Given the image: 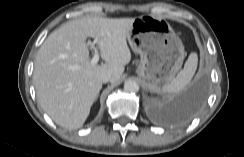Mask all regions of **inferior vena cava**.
I'll list each match as a JSON object with an SVG mask.
<instances>
[{"instance_id":"obj_1","label":"inferior vena cava","mask_w":244,"mask_h":157,"mask_svg":"<svg viewBox=\"0 0 244 157\" xmlns=\"http://www.w3.org/2000/svg\"><path fill=\"white\" fill-rule=\"evenodd\" d=\"M111 80V74L110 73H102L100 75V81L102 83H107Z\"/></svg>"}]
</instances>
